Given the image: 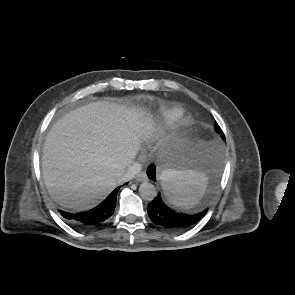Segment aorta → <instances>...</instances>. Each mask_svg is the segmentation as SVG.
Here are the masks:
<instances>
[{
    "label": "aorta",
    "instance_id": "obj_1",
    "mask_svg": "<svg viewBox=\"0 0 295 295\" xmlns=\"http://www.w3.org/2000/svg\"><path fill=\"white\" fill-rule=\"evenodd\" d=\"M140 196L147 200L152 201L157 196V191L155 186L150 182H143L139 187Z\"/></svg>",
    "mask_w": 295,
    "mask_h": 295
}]
</instances>
